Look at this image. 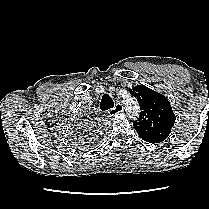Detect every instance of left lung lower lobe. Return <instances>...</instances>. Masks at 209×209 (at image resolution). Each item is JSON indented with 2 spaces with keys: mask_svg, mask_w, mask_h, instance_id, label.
Returning <instances> with one entry per match:
<instances>
[{
  "mask_svg": "<svg viewBox=\"0 0 209 209\" xmlns=\"http://www.w3.org/2000/svg\"><path fill=\"white\" fill-rule=\"evenodd\" d=\"M150 143H159V142H150Z\"/></svg>",
  "mask_w": 209,
  "mask_h": 209,
  "instance_id": "1",
  "label": "left lung lower lobe"
}]
</instances>
